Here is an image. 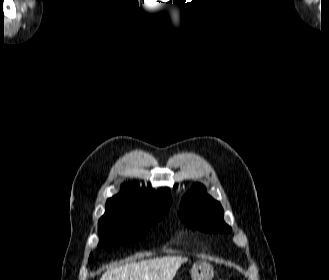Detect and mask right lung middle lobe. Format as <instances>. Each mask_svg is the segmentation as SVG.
<instances>
[{
  "label": "right lung middle lobe",
  "mask_w": 329,
  "mask_h": 280,
  "mask_svg": "<svg viewBox=\"0 0 329 280\" xmlns=\"http://www.w3.org/2000/svg\"><path fill=\"white\" fill-rule=\"evenodd\" d=\"M170 205L157 206L151 211L131 206L106 204L105 214L98 222V247L137 242L144 238L151 226L160 221ZM92 254L89 257V262Z\"/></svg>",
  "instance_id": "dd1d6c3e"
}]
</instances>
